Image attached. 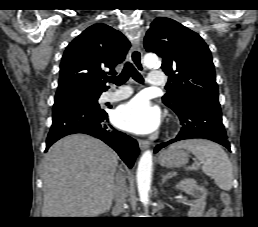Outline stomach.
I'll return each mask as SVG.
<instances>
[{"instance_id": "stomach-1", "label": "stomach", "mask_w": 258, "mask_h": 227, "mask_svg": "<svg viewBox=\"0 0 258 227\" xmlns=\"http://www.w3.org/2000/svg\"><path fill=\"white\" fill-rule=\"evenodd\" d=\"M189 155L179 149H168L162 151L158 156V162L161 166L175 168L185 165L188 162Z\"/></svg>"}]
</instances>
